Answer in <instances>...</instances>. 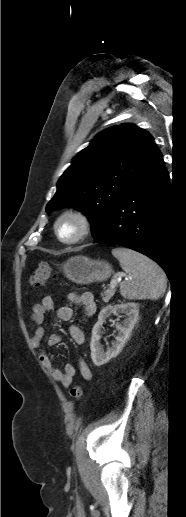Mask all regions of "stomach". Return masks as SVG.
Segmentation results:
<instances>
[{
    "label": "stomach",
    "instance_id": "stomach-1",
    "mask_svg": "<svg viewBox=\"0 0 186 517\" xmlns=\"http://www.w3.org/2000/svg\"><path fill=\"white\" fill-rule=\"evenodd\" d=\"M65 276L76 284H89L107 280L112 273L111 265L103 260L86 256H74L61 266Z\"/></svg>",
    "mask_w": 186,
    "mask_h": 517
}]
</instances>
